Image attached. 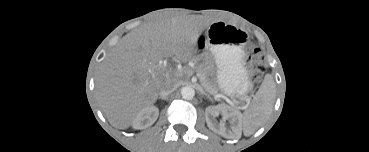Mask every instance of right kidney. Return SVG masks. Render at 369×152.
I'll use <instances>...</instances> for the list:
<instances>
[{"instance_id":"obj_1","label":"right kidney","mask_w":369,"mask_h":152,"mask_svg":"<svg viewBox=\"0 0 369 152\" xmlns=\"http://www.w3.org/2000/svg\"><path fill=\"white\" fill-rule=\"evenodd\" d=\"M159 116V109L156 106H149L141 110L132 121V128L143 130L155 123Z\"/></svg>"}]
</instances>
